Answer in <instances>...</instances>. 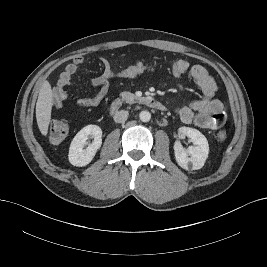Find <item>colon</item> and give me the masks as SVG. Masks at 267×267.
I'll list each match as a JSON object with an SVG mask.
<instances>
[{
  "instance_id": "obj_1",
  "label": "colon",
  "mask_w": 267,
  "mask_h": 267,
  "mask_svg": "<svg viewBox=\"0 0 267 267\" xmlns=\"http://www.w3.org/2000/svg\"><path fill=\"white\" fill-rule=\"evenodd\" d=\"M189 62L186 60H177L174 61L170 67L169 71L174 75H182L189 69ZM157 69L154 64L146 63V62H138L130 65H126L120 68L117 71H113L112 79L117 78H134L141 74L147 72H153ZM69 125L60 120H54L49 125V139L53 143L62 142L68 135ZM227 137V133L225 130H221L217 134V139L219 141H224Z\"/></svg>"
}]
</instances>
